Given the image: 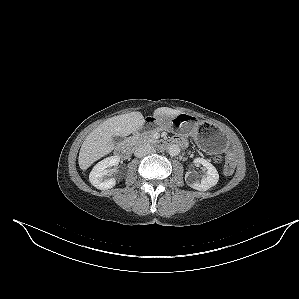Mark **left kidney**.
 Listing matches in <instances>:
<instances>
[{
	"instance_id": "obj_1",
	"label": "left kidney",
	"mask_w": 299,
	"mask_h": 299,
	"mask_svg": "<svg viewBox=\"0 0 299 299\" xmlns=\"http://www.w3.org/2000/svg\"><path fill=\"white\" fill-rule=\"evenodd\" d=\"M194 164L203 165L207 169V174L206 176L202 177L201 182H198L192 171L186 172L185 181L190 187L199 191H207L217 184L219 174L216 168L210 162L203 158H196L194 160Z\"/></svg>"
}]
</instances>
